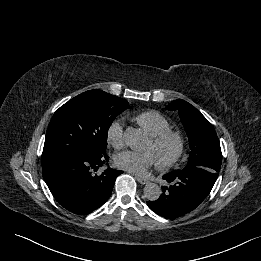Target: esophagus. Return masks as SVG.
<instances>
[{"label": "esophagus", "instance_id": "obj_1", "mask_svg": "<svg viewBox=\"0 0 261 261\" xmlns=\"http://www.w3.org/2000/svg\"><path fill=\"white\" fill-rule=\"evenodd\" d=\"M137 181L141 184H147L149 181L146 178L136 177Z\"/></svg>", "mask_w": 261, "mask_h": 261}]
</instances>
